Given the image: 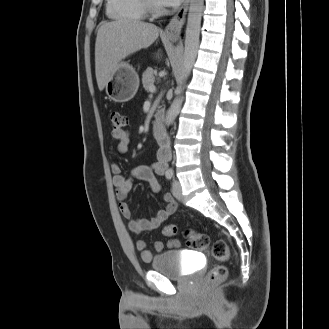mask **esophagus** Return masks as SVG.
Wrapping results in <instances>:
<instances>
[{"label":"esophagus","mask_w":329,"mask_h":329,"mask_svg":"<svg viewBox=\"0 0 329 329\" xmlns=\"http://www.w3.org/2000/svg\"><path fill=\"white\" fill-rule=\"evenodd\" d=\"M190 0H183L180 8L176 14L172 17L168 25L164 30V34L167 36L178 37L181 33L183 25L186 20V14L189 8Z\"/></svg>","instance_id":"34e87169"}]
</instances>
